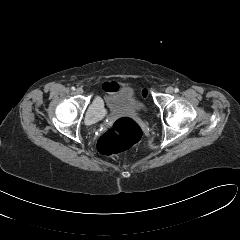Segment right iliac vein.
Here are the masks:
<instances>
[{"label": "right iliac vein", "instance_id": "1", "mask_svg": "<svg viewBox=\"0 0 240 240\" xmlns=\"http://www.w3.org/2000/svg\"><path fill=\"white\" fill-rule=\"evenodd\" d=\"M76 93H77V94H82V93H83V89L80 88V87L77 88V89H76Z\"/></svg>", "mask_w": 240, "mask_h": 240}]
</instances>
